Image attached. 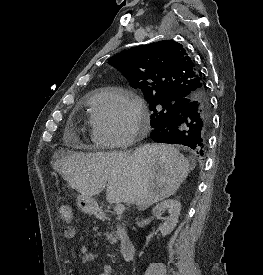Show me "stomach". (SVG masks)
Returning a JSON list of instances; mask_svg holds the SVG:
<instances>
[{
    "label": "stomach",
    "instance_id": "obj_1",
    "mask_svg": "<svg viewBox=\"0 0 263 275\" xmlns=\"http://www.w3.org/2000/svg\"><path fill=\"white\" fill-rule=\"evenodd\" d=\"M77 206L78 208L87 214H93L99 217L100 209L97 202L92 197H86L84 195H79L77 197Z\"/></svg>",
    "mask_w": 263,
    "mask_h": 275
}]
</instances>
